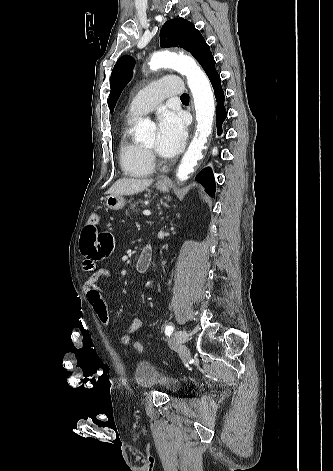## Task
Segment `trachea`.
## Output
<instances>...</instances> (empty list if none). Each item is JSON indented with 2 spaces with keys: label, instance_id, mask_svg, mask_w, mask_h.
<instances>
[{
  "label": "trachea",
  "instance_id": "3493384b",
  "mask_svg": "<svg viewBox=\"0 0 333 471\" xmlns=\"http://www.w3.org/2000/svg\"><path fill=\"white\" fill-rule=\"evenodd\" d=\"M181 100H189V95L188 94H182L181 95Z\"/></svg>",
  "mask_w": 333,
  "mask_h": 471
}]
</instances>
